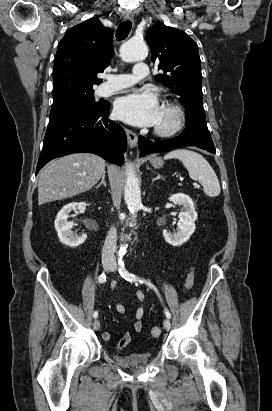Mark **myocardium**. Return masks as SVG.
Instances as JSON below:
<instances>
[{
    "instance_id": "f54148a6",
    "label": "myocardium",
    "mask_w": 272,
    "mask_h": 411,
    "mask_svg": "<svg viewBox=\"0 0 272 411\" xmlns=\"http://www.w3.org/2000/svg\"><path fill=\"white\" fill-rule=\"evenodd\" d=\"M184 121L182 109L174 103H167L161 110V119L155 127V133L160 137L173 136L182 129Z\"/></svg>"
}]
</instances>
